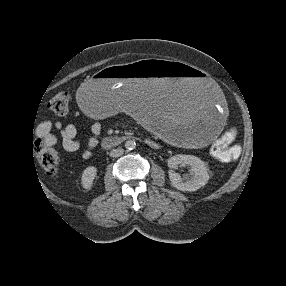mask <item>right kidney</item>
<instances>
[{
    "instance_id": "ca27d5eb",
    "label": "right kidney",
    "mask_w": 286,
    "mask_h": 286,
    "mask_svg": "<svg viewBox=\"0 0 286 286\" xmlns=\"http://www.w3.org/2000/svg\"><path fill=\"white\" fill-rule=\"evenodd\" d=\"M97 174V168L94 166H89L84 169L81 176V185L84 189H91L93 181Z\"/></svg>"
}]
</instances>
